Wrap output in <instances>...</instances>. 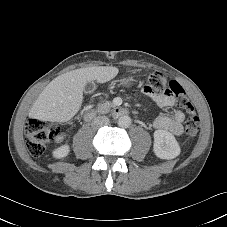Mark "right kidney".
<instances>
[{"mask_svg": "<svg viewBox=\"0 0 227 227\" xmlns=\"http://www.w3.org/2000/svg\"><path fill=\"white\" fill-rule=\"evenodd\" d=\"M69 151H70V146L65 144L55 149L53 151V156L59 159L64 158L69 154Z\"/></svg>", "mask_w": 227, "mask_h": 227, "instance_id": "right-kidney-1", "label": "right kidney"}]
</instances>
